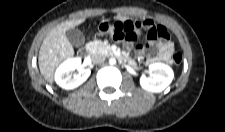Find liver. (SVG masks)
<instances>
[{
  "instance_id": "1",
  "label": "liver",
  "mask_w": 225,
  "mask_h": 132,
  "mask_svg": "<svg viewBox=\"0 0 225 132\" xmlns=\"http://www.w3.org/2000/svg\"><path fill=\"white\" fill-rule=\"evenodd\" d=\"M85 21V18L69 20L51 29L40 47L38 64L41 75L50 84L54 81L56 68L63 61L74 56V49L66 32Z\"/></svg>"
}]
</instances>
